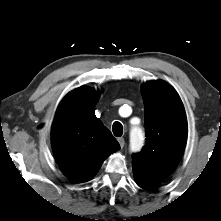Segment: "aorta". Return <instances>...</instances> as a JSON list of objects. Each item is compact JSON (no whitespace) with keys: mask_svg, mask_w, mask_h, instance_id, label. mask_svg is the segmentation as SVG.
Listing matches in <instances>:
<instances>
[{"mask_svg":"<svg viewBox=\"0 0 221 221\" xmlns=\"http://www.w3.org/2000/svg\"><path fill=\"white\" fill-rule=\"evenodd\" d=\"M144 135L140 127L135 126L130 131V151L138 152L143 146Z\"/></svg>","mask_w":221,"mask_h":221,"instance_id":"1","label":"aorta"}]
</instances>
